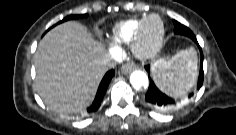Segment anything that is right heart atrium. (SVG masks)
I'll use <instances>...</instances> for the list:
<instances>
[{"label":"right heart atrium","instance_id":"d8ad5b80","mask_svg":"<svg viewBox=\"0 0 236 135\" xmlns=\"http://www.w3.org/2000/svg\"><path fill=\"white\" fill-rule=\"evenodd\" d=\"M111 54H112V56H117L119 54L118 49H116V48L111 49Z\"/></svg>","mask_w":236,"mask_h":135}]
</instances>
